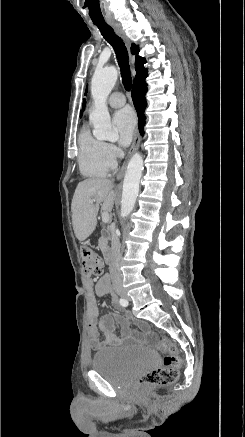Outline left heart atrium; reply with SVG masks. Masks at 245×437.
Instances as JSON below:
<instances>
[{
    "label": "left heart atrium",
    "mask_w": 245,
    "mask_h": 437,
    "mask_svg": "<svg viewBox=\"0 0 245 437\" xmlns=\"http://www.w3.org/2000/svg\"><path fill=\"white\" fill-rule=\"evenodd\" d=\"M112 122L118 133L119 143L122 146L129 145L136 127V116L133 110L126 107L117 111Z\"/></svg>",
    "instance_id": "1"
}]
</instances>
